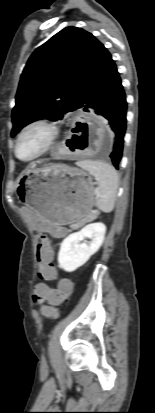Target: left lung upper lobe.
<instances>
[{
  "label": "left lung upper lobe",
  "instance_id": "5c2ea615",
  "mask_svg": "<svg viewBox=\"0 0 155 413\" xmlns=\"http://www.w3.org/2000/svg\"><path fill=\"white\" fill-rule=\"evenodd\" d=\"M107 53L91 33L72 26L38 47L21 75L11 136L35 120L57 121L80 108Z\"/></svg>",
  "mask_w": 155,
  "mask_h": 413
}]
</instances>
